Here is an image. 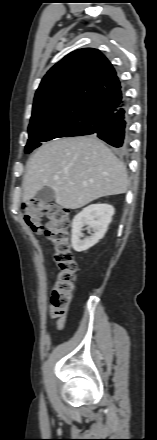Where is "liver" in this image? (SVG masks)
I'll return each instance as SVG.
<instances>
[{
	"label": "liver",
	"instance_id": "obj_1",
	"mask_svg": "<svg viewBox=\"0 0 157 440\" xmlns=\"http://www.w3.org/2000/svg\"><path fill=\"white\" fill-rule=\"evenodd\" d=\"M49 187L55 202L78 209L100 197L125 193V165L96 137H73L43 144L29 158L23 179V199Z\"/></svg>",
	"mask_w": 157,
	"mask_h": 440
}]
</instances>
